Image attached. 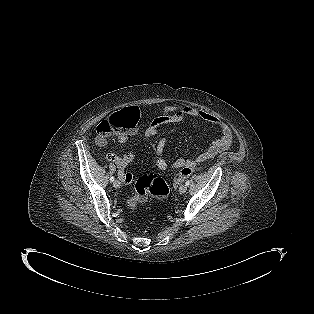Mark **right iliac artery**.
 I'll return each instance as SVG.
<instances>
[{
    "mask_svg": "<svg viewBox=\"0 0 314 314\" xmlns=\"http://www.w3.org/2000/svg\"><path fill=\"white\" fill-rule=\"evenodd\" d=\"M114 179H115V178H114L113 176H112V177H110V181H111V182H113V181H114Z\"/></svg>",
    "mask_w": 314,
    "mask_h": 314,
    "instance_id": "obj_1",
    "label": "right iliac artery"
}]
</instances>
